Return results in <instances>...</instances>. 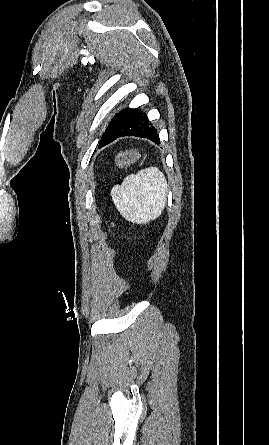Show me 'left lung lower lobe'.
Masks as SVG:
<instances>
[{"mask_svg":"<svg viewBox=\"0 0 269 445\" xmlns=\"http://www.w3.org/2000/svg\"><path fill=\"white\" fill-rule=\"evenodd\" d=\"M121 136H138L160 143L156 128L141 110L126 108L117 113L104 132L99 148L113 142Z\"/></svg>","mask_w":269,"mask_h":445,"instance_id":"left-lung-lower-lobe-1","label":"left lung lower lobe"}]
</instances>
